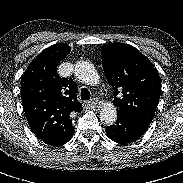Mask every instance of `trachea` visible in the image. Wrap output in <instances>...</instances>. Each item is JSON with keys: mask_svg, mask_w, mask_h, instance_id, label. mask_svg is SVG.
I'll return each instance as SVG.
<instances>
[{"mask_svg": "<svg viewBox=\"0 0 183 183\" xmlns=\"http://www.w3.org/2000/svg\"><path fill=\"white\" fill-rule=\"evenodd\" d=\"M91 95L87 88L81 89V100H88L90 99Z\"/></svg>", "mask_w": 183, "mask_h": 183, "instance_id": "3493384b", "label": "trachea"}]
</instances>
